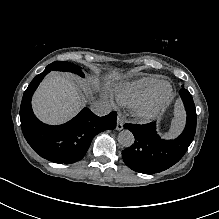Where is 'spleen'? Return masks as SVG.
Returning a JSON list of instances; mask_svg holds the SVG:
<instances>
[{"mask_svg":"<svg viewBox=\"0 0 219 219\" xmlns=\"http://www.w3.org/2000/svg\"><path fill=\"white\" fill-rule=\"evenodd\" d=\"M187 113L184 103L181 98H177L174 103V120L168 132L161 135V139L165 141H172L177 139L186 127Z\"/></svg>","mask_w":219,"mask_h":219,"instance_id":"1","label":"spleen"}]
</instances>
